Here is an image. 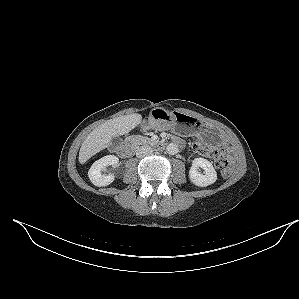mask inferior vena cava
<instances>
[{
  "instance_id": "1",
  "label": "inferior vena cava",
  "mask_w": 299,
  "mask_h": 299,
  "mask_svg": "<svg viewBox=\"0 0 299 299\" xmlns=\"http://www.w3.org/2000/svg\"><path fill=\"white\" fill-rule=\"evenodd\" d=\"M152 152H153V149L150 146L143 145V146H140V147L137 148V150H136V156L138 158H143L145 156L151 155Z\"/></svg>"
}]
</instances>
